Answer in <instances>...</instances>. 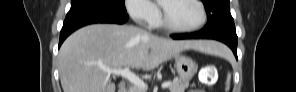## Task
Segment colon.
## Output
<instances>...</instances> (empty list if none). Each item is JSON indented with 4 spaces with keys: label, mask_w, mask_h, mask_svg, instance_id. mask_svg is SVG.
<instances>
[{
    "label": "colon",
    "mask_w": 296,
    "mask_h": 92,
    "mask_svg": "<svg viewBox=\"0 0 296 92\" xmlns=\"http://www.w3.org/2000/svg\"><path fill=\"white\" fill-rule=\"evenodd\" d=\"M216 77V68L214 66H206L200 74V79L205 84H212Z\"/></svg>",
    "instance_id": "1"
}]
</instances>
